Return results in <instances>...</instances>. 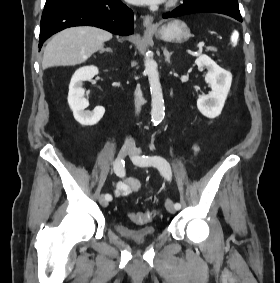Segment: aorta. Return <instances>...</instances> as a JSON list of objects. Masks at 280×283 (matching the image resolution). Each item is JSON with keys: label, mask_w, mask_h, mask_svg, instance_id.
Segmentation results:
<instances>
[{"label": "aorta", "mask_w": 280, "mask_h": 283, "mask_svg": "<svg viewBox=\"0 0 280 283\" xmlns=\"http://www.w3.org/2000/svg\"><path fill=\"white\" fill-rule=\"evenodd\" d=\"M145 73L148 76L151 92V121L154 124L160 123L165 115L164 99L159 80V72L155 60L146 56L144 60Z\"/></svg>", "instance_id": "1"}]
</instances>
